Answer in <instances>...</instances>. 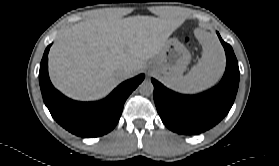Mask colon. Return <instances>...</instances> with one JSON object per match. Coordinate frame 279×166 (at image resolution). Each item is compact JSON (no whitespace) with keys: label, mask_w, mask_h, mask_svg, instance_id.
I'll use <instances>...</instances> for the list:
<instances>
[{"label":"colon","mask_w":279,"mask_h":166,"mask_svg":"<svg viewBox=\"0 0 279 166\" xmlns=\"http://www.w3.org/2000/svg\"><path fill=\"white\" fill-rule=\"evenodd\" d=\"M182 40L185 44L191 43V37L187 33L182 34Z\"/></svg>","instance_id":"1"}]
</instances>
